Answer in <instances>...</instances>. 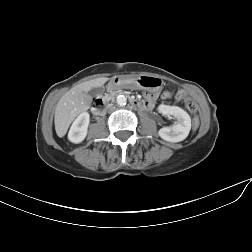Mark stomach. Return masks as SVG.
Masks as SVG:
<instances>
[{"label": "stomach", "mask_w": 252, "mask_h": 252, "mask_svg": "<svg viewBox=\"0 0 252 252\" xmlns=\"http://www.w3.org/2000/svg\"><path fill=\"white\" fill-rule=\"evenodd\" d=\"M161 80L153 75L142 74L136 77L114 76L110 85H132L138 89L147 90L149 92H157L161 88Z\"/></svg>", "instance_id": "1"}]
</instances>
